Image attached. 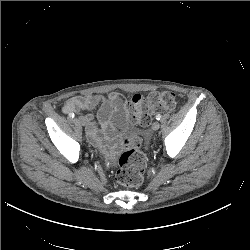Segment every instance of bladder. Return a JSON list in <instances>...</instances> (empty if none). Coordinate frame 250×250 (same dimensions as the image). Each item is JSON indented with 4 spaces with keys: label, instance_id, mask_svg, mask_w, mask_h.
<instances>
[{
    "label": "bladder",
    "instance_id": "31cf9c89",
    "mask_svg": "<svg viewBox=\"0 0 250 250\" xmlns=\"http://www.w3.org/2000/svg\"><path fill=\"white\" fill-rule=\"evenodd\" d=\"M121 122V119H120ZM120 139L123 145L130 146L135 143L136 132L130 128L122 126L120 128Z\"/></svg>",
    "mask_w": 250,
    "mask_h": 250
}]
</instances>
